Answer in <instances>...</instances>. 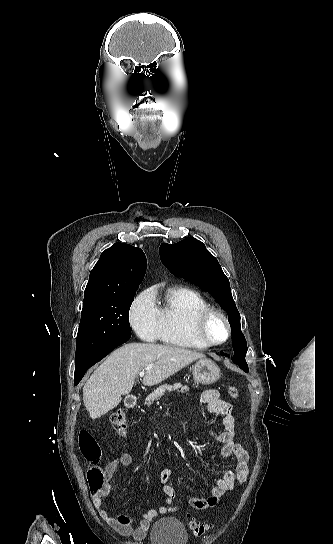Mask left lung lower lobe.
<instances>
[{
    "label": "left lung lower lobe",
    "mask_w": 333,
    "mask_h": 544,
    "mask_svg": "<svg viewBox=\"0 0 333 544\" xmlns=\"http://www.w3.org/2000/svg\"><path fill=\"white\" fill-rule=\"evenodd\" d=\"M241 369H243V368H241ZM243 370H244L245 372H248V369H243Z\"/></svg>",
    "instance_id": "left-lung-lower-lobe-1"
}]
</instances>
